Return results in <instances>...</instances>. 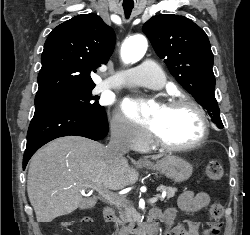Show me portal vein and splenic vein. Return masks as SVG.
Returning a JSON list of instances; mask_svg holds the SVG:
<instances>
[{"label": "portal vein and splenic vein", "instance_id": "18ae733b", "mask_svg": "<svg viewBox=\"0 0 250 235\" xmlns=\"http://www.w3.org/2000/svg\"><path fill=\"white\" fill-rule=\"evenodd\" d=\"M99 193H100L103 197H105L107 200H109V201H115V198H114V195H113L112 192H110V191H108V190H99ZM164 197H165V194L162 195V198H164ZM158 198H159V197L156 196V197H153V198L149 199V203H150V204L156 203V202L158 201Z\"/></svg>", "mask_w": 250, "mask_h": 235}]
</instances>
